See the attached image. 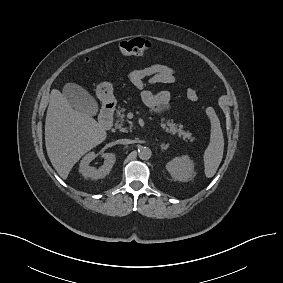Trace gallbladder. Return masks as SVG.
Listing matches in <instances>:
<instances>
[{"label":"gallbladder","instance_id":"bac80fb5","mask_svg":"<svg viewBox=\"0 0 283 283\" xmlns=\"http://www.w3.org/2000/svg\"><path fill=\"white\" fill-rule=\"evenodd\" d=\"M63 95L75 110L94 116L98 112V105L94 98L83 87L75 83H66Z\"/></svg>","mask_w":283,"mask_h":283}]
</instances>
